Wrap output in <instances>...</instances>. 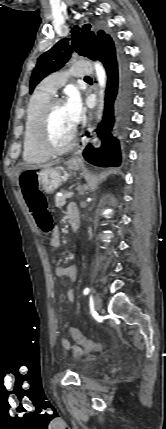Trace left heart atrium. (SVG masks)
<instances>
[{
	"mask_svg": "<svg viewBox=\"0 0 166 429\" xmlns=\"http://www.w3.org/2000/svg\"><path fill=\"white\" fill-rule=\"evenodd\" d=\"M65 108L70 118V121L75 126L82 118L83 108L79 95L71 93L65 102Z\"/></svg>",
	"mask_w": 166,
	"mask_h": 429,
	"instance_id": "left-heart-atrium-1",
	"label": "left heart atrium"
}]
</instances>
